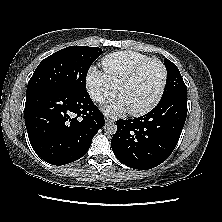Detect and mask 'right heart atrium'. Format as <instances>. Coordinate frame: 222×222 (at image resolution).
Masks as SVG:
<instances>
[{
    "instance_id": "1",
    "label": "right heart atrium",
    "mask_w": 222,
    "mask_h": 222,
    "mask_svg": "<svg viewBox=\"0 0 222 222\" xmlns=\"http://www.w3.org/2000/svg\"><path fill=\"white\" fill-rule=\"evenodd\" d=\"M86 86L91 98L96 102H103L117 91V86L107 74L94 67L88 71Z\"/></svg>"
}]
</instances>
